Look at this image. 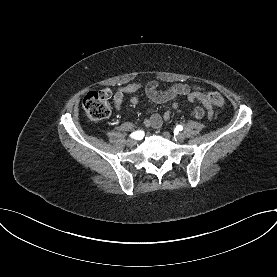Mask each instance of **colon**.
I'll return each instance as SVG.
<instances>
[{"instance_id":"colon-1","label":"colon","mask_w":277,"mask_h":277,"mask_svg":"<svg viewBox=\"0 0 277 277\" xmlns=\"http://www.w3.org/2000/svg\"><path fill=\"white\" fill-rule=\"evenodd\" d=\"M110 92L107 89L89 92L83 100V108L89 121L98 122L111 113ZM209 100L216 106H223L224 99L217 92L208 93Z\"/></svg>"}]
</instances>
